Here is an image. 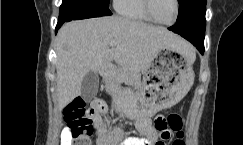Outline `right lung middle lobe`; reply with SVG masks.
<instances>
[{"label":"right lung middle lobe","mask_w":243,"mask_h":145,"mask_svg":"<svg viewBox=\"0 0 243 145\" xmlns=\"http://www.w3.org/2000/svg\"><path fill=\"white\" fill-rule=\"evenodd\" d=\"M101 6L109 7V0H91Z\"/></svg>","instance_id":"1"}]
</instances>
